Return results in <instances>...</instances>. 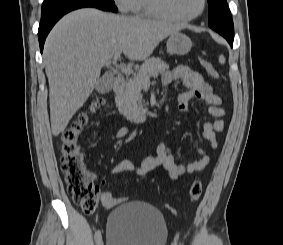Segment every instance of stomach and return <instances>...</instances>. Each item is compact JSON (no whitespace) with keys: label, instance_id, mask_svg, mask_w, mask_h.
Listing matches in <instances>:
<instances>
[{"label":"stomach","instance_id":"1","mask_svg":"<svg viewBox=\"0 0 283 245\" xmlns=\"http://www.w3.org/2000/svg\"><path fill=\"white\" fill-rule=\"evenodd\" d=\"M166 45L169 54L185 55L190 51L192 42L188 36L177 31L169 36Z\"/></svg>","mask_w":283,"mask_h":245}]
</instances>
